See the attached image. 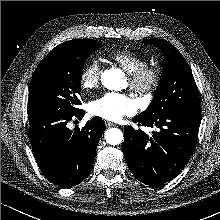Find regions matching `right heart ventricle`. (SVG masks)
Instances as JSON below:
<instances>
[{
  "mask_svg": "<svg viewBox=\"0 0 220 220\" xmlns=\"http://www.w3.org/2000/svg\"><path fill=\"white\" fill-rule=\"evenodd\" d=\"M109 58L129 74L147 64L144 57L137 55L129 49L115 50L109 55Z\"/></svg>",
  "mask_w": 220,
  "mask_h": 220,
  "instance_id": "e07e8e85",
  "label": "right heart ventricle"
}]
</instances>
